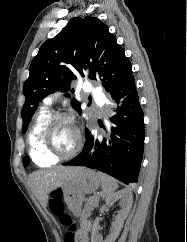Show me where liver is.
<instances>
[{
  "mask_svg": "<svg viewBox=\"0 0 187 242\" xmlns=\"http://www.w3.org/2000/svg\"><path fill=\"white\" fill-rule=\"evenodd\" d=\"M80 168L58 166L54 169L34 172L30 177V183L41 205L47 206L48 195L52 191L58 188L65 191L69 180Z\"/></svg>",
  "mask_w": 187,
  "mask_h": 242,
  "instance_id": "obj_1",
  "label": "liver"
}]
</instances>
